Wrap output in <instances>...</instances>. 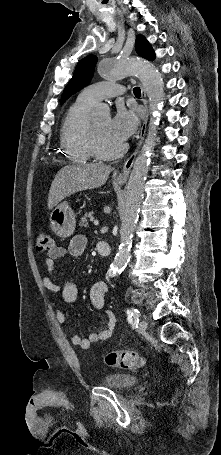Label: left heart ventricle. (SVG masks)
Returning a JSON list of instances; mask_svg holds the SVG:
<instances>
[{
    "instance_id": "obj_1",
    "label": "left heart ventricle",
    "mask_w": 221,
    "mask_h": 455,
    "mask_svg": "<svg viewBox=\"0 0 221 455\" xmlns=\"http://www.w3.org/2000/svg\"><path fill=\"white\" fill-rule=\"evenodd\" d=\"M110 117H102L93 123L95 127L98 143L103 151H112L123 143L120 139L114 136L110 127Z\"/></svg>"
}]
</instances>
